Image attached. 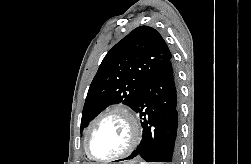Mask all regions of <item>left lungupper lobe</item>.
Here are the masks:
<instances>
[{"mask_svg":"<svg viewBox=\"0 0 251 164\" xmlns=\"http://www.w3.org/2000/svg\"><path fill=\"white\" fill-rule=\"evenodd\" d=\"M171 58L157 30L140 26L131 31L99 66L86 97L80 130L109 104L122 102L134 110L146 83Z\"/></svg>","mask_w":251,"mask_h":164,"instance_id":"5c2ea615","label":"left lung upper lobe"}]
</instances>
